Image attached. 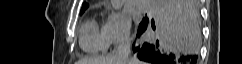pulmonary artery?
<instances>
[{"instance_id":"obj_1","label":"pulmonary artery","mask_w":242,"mask_h":64,"mask_svg":"<svg viewBox=\"0 0 242 64\" xmlns=\"http://www.w3.org/2000/svg\"><path fill=\"white\" fill-rule=\"evenodd\" d=\"M137 7L139 10H141L143 12L149 11V9H150L149 3L146 0H139L137 2Z\"/></svg>"}]
</instances>
